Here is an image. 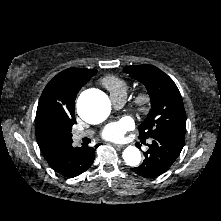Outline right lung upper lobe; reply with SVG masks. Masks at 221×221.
<instances>
[{
    "instance_id": "1",
    "label": "right lung upper lobe",
    "mask_w": 221,
    "mask_h": 221,
    "mask_svg": "<svg viewBox=\"0 0 221 221\" xmlns=\"http://www.w3.org/2000/svg\"><path fill=\"white\" fill-rule=\"evenodd\" d=\"M96 72L94 69L68 68L44 88L35 119L36 139L44 157L72 142L76 95Z\"/></svg>"
}]
</instances>
